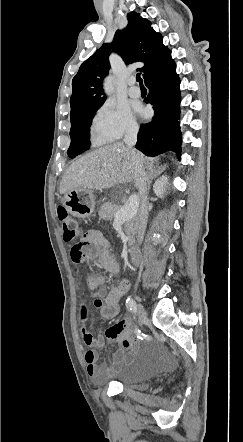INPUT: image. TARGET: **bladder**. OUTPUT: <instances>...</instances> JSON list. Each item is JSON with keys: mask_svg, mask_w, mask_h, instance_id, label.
Returning <instances> with one entry per match:
<instances>
[{"mask_svg": "<svg viewBox=\"0 0 243 442\" xmlns=\"http://www.w3.org/2000/svg\"><path fill=\"white\" fill-rule=\"evenodd\" d=\"M153 375L152 361L143 354L135 353L117 367L113 381L125 388L146 391L150 388L148 381Z\"/></svg>", "mask_w": 243, "mask_h": 442, "instance_id": "1", "label": "bladder"}]
</instances>
